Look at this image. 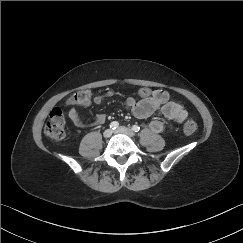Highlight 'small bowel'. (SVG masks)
<instances>
[{
    "instance_id": "obj_1",
    "label": "small bowel",
    "mask_w": 243,
    "mask_h": 243,
    "mask_svg": "<svg viewBox=\"0 0 243 243\" xmlns=\"http://www.w3.org/2000/svg\"><path fill=\"white\" fill-rule=\"evenodd\" d=\"M112 95V91H107L104 94L96 95L93 101L95 104L99 105ZM139 96V100L133 97H129L126 100L127 109L130 110L136 118L145 119L159 109L167 119L177 123H183L188 118V111L186 108L175 101H171L169 93L166 90L158 89L151 91L148 88H141L139 90ZM69 118L75 127L81 129L86 127V123L81 119L75 108L70 109ZM105 121L106 115L100 113L96 115L93 124L100 125ZM150 128L153 132L159 133L164 130L165 125L161 120L155 119L150 122Z\"/></svg>"
}]
</instances>
